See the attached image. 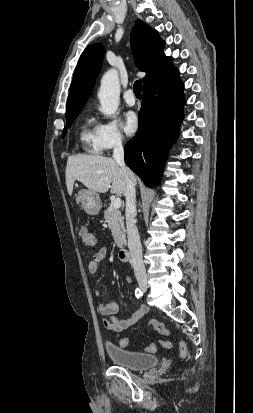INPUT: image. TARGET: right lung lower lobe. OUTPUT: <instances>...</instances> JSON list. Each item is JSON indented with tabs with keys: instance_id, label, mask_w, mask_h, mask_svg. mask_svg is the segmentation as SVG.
<instances>
[{
	"instance_id": "right-lung-lower-lobe-1",
	"label": "right lung lower lobe",
	"mask_w": 253,
	"mask_h": 413,
	"mask_svg": "<svg viewBox=\"0 0 253 413\" xmlns=\"http://www.w3.org/2000/svg\"><path fill=\"white\" fill-rule=\"evenodd\" d=\"M183 88L176 68L143 88L139 130L125 146V162L149 187L159 183L169 148L177 139Z\"/></svg>"
}]
</instances>
